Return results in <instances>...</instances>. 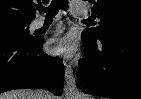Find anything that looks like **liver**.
<instances>
[{
    "mask_svg": "<svg viewBox=\"0 0 141 99\" xmlns=\"http://www.w3.org/2000/svg\"><path fill=\"white\" fill-rule=\"evenodd\" d=\"M0 99H36V98L34 90L19 89L8 91L1 94Z\"/></svg>",
    "mask_w": 141,
    "mask_h": 99,
    "instance_id": "1",
    "label": "liver"
}]
</instances>
